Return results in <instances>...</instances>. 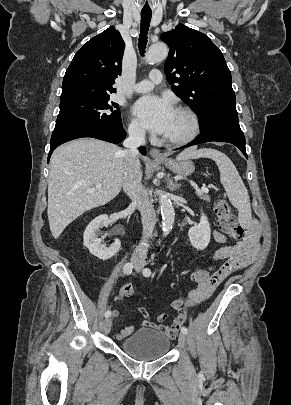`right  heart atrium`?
<instances>
[{
	"mask_svg": "<svg viewBox=\"0 0 291 405\" xmlns=\"http://www.w3.org/2000/svg\"><path fill=\"white\" fill-rule=\"evenodd\" d=\"M127 131L130 137L133 139L142 140L145 137L144 129L138 122L134 120L128 124Z\"/></svg>",
	"mask_w": 291,
	"mask_h": 405,
	"instance_id": "1",
	"label": "right heart atrium"
}]
</instances>
